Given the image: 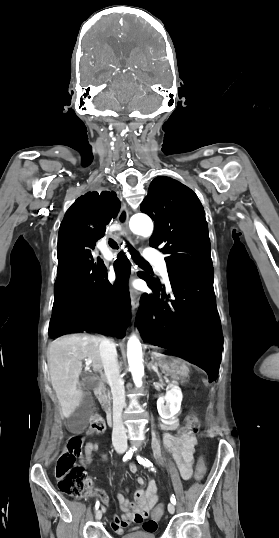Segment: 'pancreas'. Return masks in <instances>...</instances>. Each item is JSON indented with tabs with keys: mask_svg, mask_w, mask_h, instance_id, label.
Wrapping results in <instances>:
<instances>
[{
	"mask_svg": "<svg viewBox=\"0 0 279 538\" xmlns=\"http://www.w3.org/2000/svg\"><path fill=\"white\" fill-rule=\"evenodd\" d=\"M166 387H169V384H166ZM108 394H109V392H108ZM108 394H103L105 400H107V398H108Z\"/></svg>",
	"mask_w": 279,
	"mask_h": 538,
	"instance_id": "1",
	"label": "pancreas"
}]
</instances>
